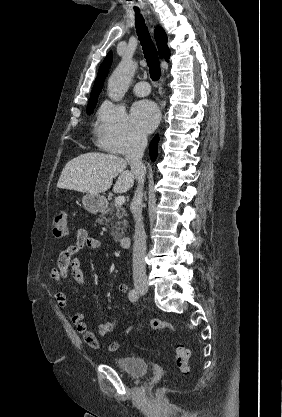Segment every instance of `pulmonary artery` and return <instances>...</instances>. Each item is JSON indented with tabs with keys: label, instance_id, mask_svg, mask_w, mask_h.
Returning a JSON list of instances; mask_svg holds the SVG:
<instances>
[{
	"label": "pulmonary artery",
	"instance_id": "pulmonary-artery-1",
	"mask_svg": "<svg viewBox=\"0 0 282 417\" xmlns=\"http://www.w3.org/2000/svg\"><path fill=\"white\" fill-rule=\"evenodd\" d=\"M133 92L135 95L143 97L150 93V86L147 82L141 81L134 85Z\"/></svg>",
	"mask_w": 282,
	"mask_h": 417
}]
</instances>
